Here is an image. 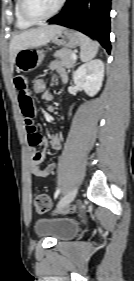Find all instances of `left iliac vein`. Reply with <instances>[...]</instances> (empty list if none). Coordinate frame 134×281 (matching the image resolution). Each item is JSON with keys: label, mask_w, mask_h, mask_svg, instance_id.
I'll return each instance as SVG.
<instances>
[{"label": "left iliac vein", "mask_w": 134, "mask_h": 281, "mask_svg": "<svg viewBox=\"0 0 134 281\" xmlns=\"http://www.w3.org/2000/svg\"><path fill=\"white\" fill-rule=\"evenodd\" d=\"M77 192L78 187H74L73 189H71L58 203L54 213H59L64 207H66L75 198Z\"/></svg>", "instance_id": "obj_1"}]
</instances>
